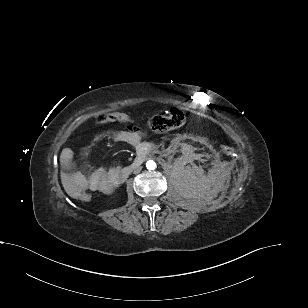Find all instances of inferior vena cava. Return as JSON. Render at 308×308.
<instances>
[{
	"mask_svg": "<svg viewBox=\"0 0 308 308\" xmlns=\"http://www.w3.org/2000/svg\"><path fill=\"white\" fill-rule=\"evenodd\" d=\"M140 171H141V167H138V168L135 169L134 172L138 173V172H140Z\"/></svg>",
	"mask_w": 308,
	"mask_h": 308,
	"instance_id": "inferior-vena-cava-1",
	"label": "inferior vena cava"
}]
</instances>
